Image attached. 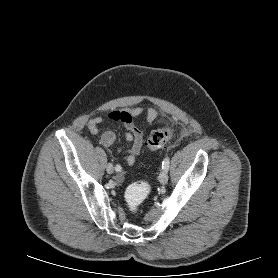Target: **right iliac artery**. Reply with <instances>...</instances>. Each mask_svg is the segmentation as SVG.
Masks as SVG:
<instances>
[{"mask_svg": "<svg viewBox=\"0 0 278 278\" xmlns=\"http://www.w3.org/2000/svg\"><path fill=\"white\" fill-rule=\"evenodd\" d=\"M115 171H117V172L121 171V166L120 165H116L115 166Z\"/></svg>", "mask_w": 278, "mask_h": 278, "instance_id": "1", "label": "right iliac artery"}]
</instances>
